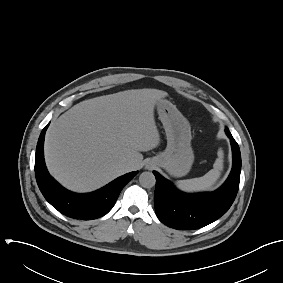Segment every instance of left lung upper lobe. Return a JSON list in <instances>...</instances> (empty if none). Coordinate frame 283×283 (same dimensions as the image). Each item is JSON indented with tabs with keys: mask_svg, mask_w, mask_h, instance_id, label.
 <instances>
[{
	"mask_svg": "<svg viewBox=\"0 0 283 283\" xmlns=\"http://www.w3.org/2000/svg\"><path fill=\"white\" fill-rule=\"evenodd\" d=\"M225 132H229L228 128H225Z\"/></svg>",
	"mask_w": 283,
	"mask_h": 283,
	"instance_id": "left-lung-upper-lobe-1",
	"label": "left lung upper lobe"
}]
</instances>
